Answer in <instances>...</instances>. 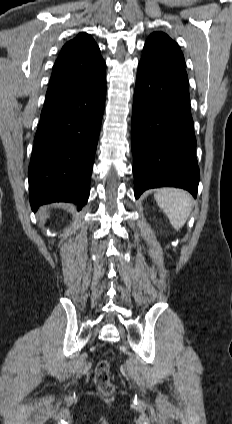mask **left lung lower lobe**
I'll use <instances>...</instances> for the list:
<instances>
[{"mask_svg": "<svg viewBox=\"0 0 232 424\" xmlns=\"http://www.w3.org/2000/svg\"><path fill=\"white\" fill-rule=\"evenodd\" d=\"M135 197L172 186L197 195L199 168L184 68L138 66L132 109Z\"/></svg>", "mask_w": 232, "mask_h": 424, "instance_id": "0a47b994", "label": "left lung lower lobe"}]
</instances>
